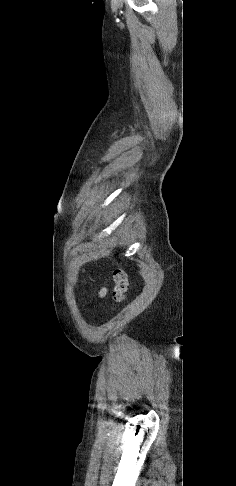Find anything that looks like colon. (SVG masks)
Instances as JSON below:
<instances>
[{"instance_id": "1", "label": "colon", "mask_w": 236, "mask_h": 486, "mask_svg": "<svg viewBox=\"0 0 236 486\" xmlns=\"http://www.w3.org/2000/svg\"><path fill=\"white\" fill-rule=\"evenodd\" d=\"M114 288L112 291V300L115 304L121 303L128 289V276L126 271L117 266L113 273Z\"/></svg>"}]
</instances>
